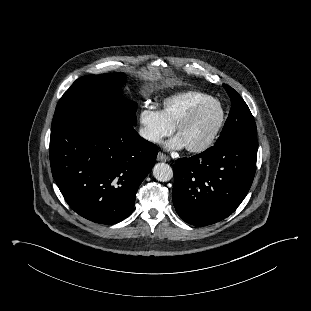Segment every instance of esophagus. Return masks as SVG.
Returning a JSON list of instances; mask_svg holds the SVG:
<instances>
[{
	"label": "esophagus",
	"mask_w": 311,
	"mask_h": 311,
	"mask_svg": "<svg viewBox=\"0 0 311 311\" xmlns=\"http://www.w3.org/2000/svg\"><path fill=\"white\" fill-rule=\"evenodd\" d=\"M157 160L167 162V161H169V157L167 155H165L164 153L159 152L157 155Z\"/></svg>",
	"instance_id": "esophagus-1"
}]
</instances>
